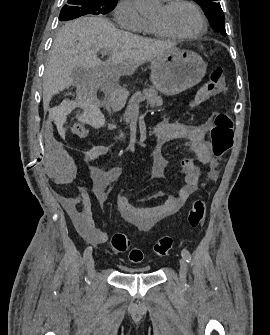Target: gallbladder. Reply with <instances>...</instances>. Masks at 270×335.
<instances>
[{
  "label": "gallbladder",
  "instance_id": "obj_1",
  "mask_svg": "<svg viewBox=\"0 0 270 335\" xmlns=\"http://www.w3.org/2000/svg\"><path fill=\"white\" fill-rule=\"evenodd\" d=\"M82 72H84L83 68H74L72 72L74 82H79Z\"/></svg>",
  "mask_w": 270,
  "mask_h": 335
}]
</instances>
